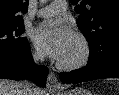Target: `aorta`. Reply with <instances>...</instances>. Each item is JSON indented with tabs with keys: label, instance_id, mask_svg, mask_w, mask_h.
I'll use <instances>...</instances> for the list:
<instances>
[{
	"label": "aorta",
	"instance_id": "762f6f07",
	"mask_svg": "<svg viewBox=\"0 0 119 95\" xmlns=\"http://www.w3.org/2000/svg\"><path fill=\"white\" fill-rule=\"evenodd\" d=\"M41 2H42V3H46V2H47V0H41Z\"/></svg>",
	"mask_w": 119,
	"mask_h": 95
}]
</instances>
